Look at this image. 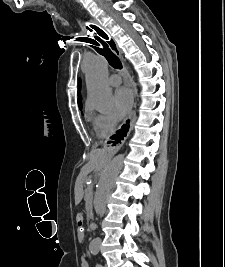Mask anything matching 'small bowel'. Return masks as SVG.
I'll return each instance as SVG.
<instances>
[{
	"label": "small bowel",
	"instance_id": "c3829d8e",
	"mask_svg": "<svg viewBox=\"0 0 225 267\" xmlns=\"http://www.w3.org/2000/svg\"><path fill=\"white\" fill-rule=\"evenodd\" d=\"M80 267H89V263H88V261H87L85 258H83V259L81 260V265H80Z\"/></svg>",
	"mask_w": 225,
	"mask_h": 267
}]
</instances>
